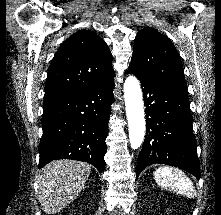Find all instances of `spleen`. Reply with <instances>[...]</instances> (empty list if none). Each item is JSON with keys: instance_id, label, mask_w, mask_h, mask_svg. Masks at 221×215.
Returning <instances> with one entry per match:
<instances>
[{"instance_id": "spleen-1", "label": "spleen", "mask_w": 221, "mask_h": 215, "mask_svg": "<svg viewBox=\"0 0 221 215\" xmlns=\"http://www.w3.org/2000/svg\"><path fill=\"white\" fill-rule=\"evenodd\" d=\"M154 178L162 188L194 198L196 194L192 181L179 169L163 166L154 172Z\"/></svg>"}]
</instances>
